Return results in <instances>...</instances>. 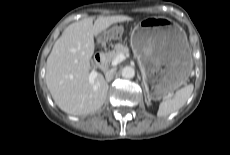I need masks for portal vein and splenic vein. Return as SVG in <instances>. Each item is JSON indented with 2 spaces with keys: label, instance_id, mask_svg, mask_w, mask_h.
Instances as JSON below:
<instances>
[{
  "label": "portal vein and splenic vein",
  "instance_id": "obj_1",
  "mask_svg": "<svg viewBox=\"0 0 230 155\" xmlns=\"http://www.w3.org/2000/svg\"><path fill=\"white\" fill-rule=\"evenodd\" d=\"M125 55L124 54H119L117 55V57L111 62V65L113 67L117 66L119 63H121L123 60H125ZM97 72L96 71H92L89 75V81H93L94 78L97 76Z\"/></svg>",
  "mask_w": 230,
  "mask_h": 155
}]
</instances>
